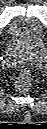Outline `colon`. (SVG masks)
<instances>
[{
  "label": "colon",
  "mask_w": 47,
  "mask_h": 129,
  "mask_svg": "<svg viewBox=\"0 0 47 129\" xmlns=\"http://www.w3.org/2000/svg\"><path fill=\"white\" fill-rule=\"evenodd\" d=\"M32 77L33 74L31 70L24 69L16 81L17 89L20 91H26L31 85Z\"/></svg>",
  "instance_id": "colon-1"
}]
</instances>
